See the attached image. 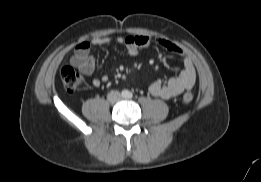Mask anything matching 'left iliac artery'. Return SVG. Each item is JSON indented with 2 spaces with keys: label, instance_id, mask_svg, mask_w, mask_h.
I'll return each mask as SVG.
<instances>
[{
  "label": "left iliac artery",
  "instance_id": "44dca946",
  "mask_svg": "<svg viewBox=\"0 0 261 182\" xmlns=\"http://www.w3.org/2000/svg\"><path fill=\"white\" fill-rule=\"evenodd\" d=\"M128 97L131 98V97H132V93H129V94H128Z\"/></svg>",
  "mask_w": 261,
  "mask_h": 182
}]
</instances>
